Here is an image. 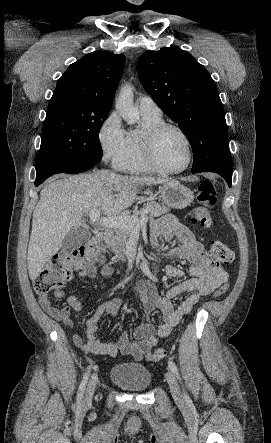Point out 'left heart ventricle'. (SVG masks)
<instances>
[{"label": "left heart ventricle", "instance_id": "left-heart-ventricle-1", "mask_svg": "<svg viewBox=\"0 0 271 443\" xmlns=\"http://www.w3.org/2000/svg\"><path fill=\"white\" fill-rule=\"evenodd\" d=\"M157 155L164 166L179 168L188 159V148L185 140L177 131L168 129L158 139Z\"/></svg>", "mask_w": 271, "mask_h": 443}]
</instances>
